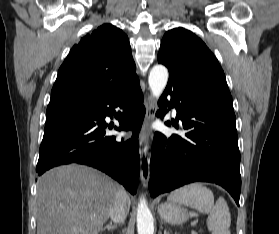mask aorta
<instances>
[{"mask_svg": "<svg viewBox=\"0 0 279 234\" xmlns=\"http://www.w3.org/2000/svg\"><path fill=\"white\" fill-rule=\"evenodd\" d=\"M168 77V70L164 65L157 64L152 67L148 83L152 95L156 99H158L164 91ZM137 232L138 234H154L153 216L143 196L140 197L137 208Z\"/></svg>", "mask_w": 279, "mask_h": 234, "instance_id": "762f6f07", "label": "aorta"}]
</instances>
